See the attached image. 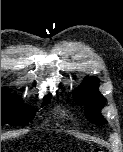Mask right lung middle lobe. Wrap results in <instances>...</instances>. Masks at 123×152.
<instances>
[{
  "label": "right lung middle lobe",
  "mask_w": 123,
  "mask_h": 152,
  "mask_svg": "<svg viewBox=\"0 0 123 152\" xmlns=\"http://www.w3.org/2000/svg\"><path fill=\"white\" fill-rule=\"evenodd\" d=\"M50 96L45 97L43 106L48 103ZM1 101L5 103L1 107V124L27 125L33 120L36 111L25 106L21 99L10 100L6 92L1 91Z\"/></svg>",
  "instance_id": "right-lung-middle-lobe-1"
}]
</instances>
